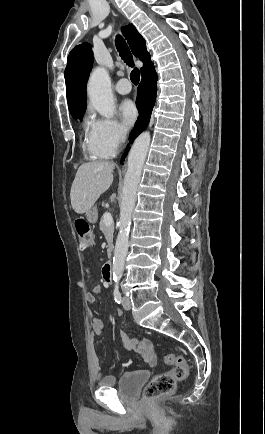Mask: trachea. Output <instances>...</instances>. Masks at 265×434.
<instances>
[{
	"mask_svg": "<svg viewBox=\"0 0 265 434\" xmlns=\"http://www.w3.org/2000/svg\"><path fill=\"white\" fill-rule=\"evenodd\" d=\"M116 47L118 49L120 57L124 60V62L128 66L133 67L134 62H133V58H132V55L130 53V50H129L127 44L125 43V41L123 40V38H121L120 36H118V38L116 39ZM130 79H131L132 83H134L135 85H137L139 83L140 72H139L138 68H133V70L130 73Z\"/></svg>",
	"mask_w": 265,
	"mask_h": 434,
	"instance_id": "1",
	"label": "trachea"
}]
</instances>
